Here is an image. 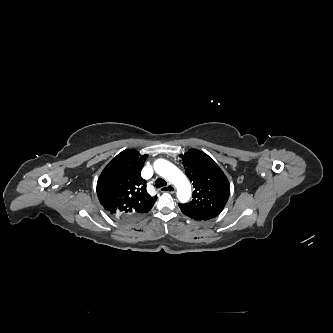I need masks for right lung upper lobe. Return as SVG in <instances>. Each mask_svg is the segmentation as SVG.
<instances>
[{"label": "right lung upper lobe", "instance_id": "obj_1", "mask_svg": "<svg viewBox=\"0 0 333 333\" xmlns=\"http://www.w3.org/2000/svg\"><path fill=\"white\" fill-rule=\"evenodd\" d=\"M146 156L133 149L119 153L102 171L97 195L103 208L112 216L143 215L152 208L157 196L146 191L141 177Z\"/></svg>", "mask_w": 333, "mask_h": 333}]
</instances>
